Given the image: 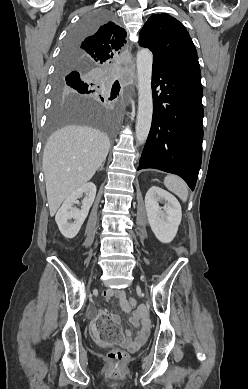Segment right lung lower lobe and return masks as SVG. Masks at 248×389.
<instances>
[{
  "mask_svg": "<svg viewBox=\"0 0 248 389\" xmlns=\"http://www.w3.org/2000/svg\"><path fill=\"white\" fill-rule=\"evenodd\" d=\"M81 40V39H80ZM80 40H78V41H80ZM78 41H76V42H78ZM78 75H80V72H78V71H74V72H72V73H70V78H73V77H76V76H78ZM117 82V81H116ZM113 87L114 88H117L118 89V92H119V90H120V85H119V83L117 82V84H113Z\"/></svg>",
  "mask_w": 248,
  "mask_h": 389,
  "instance_id": "98d812e1",
  "label": "right lung lower lobe"
}]
</instances>
